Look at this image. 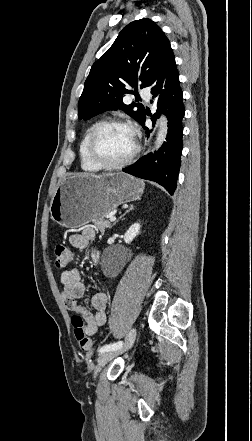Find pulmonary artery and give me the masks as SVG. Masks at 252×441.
Masks as SVG:
<instances>
[{
    "instance_id": "pulmonary-artery-1",
    "label": "pulmonary artery",
    "mask_w": 252,
    "mask_h": 441,
    "mask_svg": "<svg viewBox=\"0 0 252 441\" xmlns=\"http://www.w3.org/2000/svg\"><path fill=\"white\" fill-rule=\"evenodd\" d=\"M140 94H141V96H142L143 98H145L146 100H148V99L150 98V96H151V93H150L149 89H147V88H143V89H141V90H140Z\"/></svg>"
}]
</instances>
